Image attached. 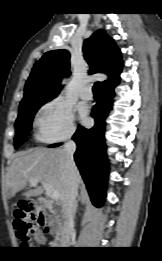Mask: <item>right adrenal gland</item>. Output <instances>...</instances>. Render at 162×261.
I'll list each match as a JSON object with an SVG mask.
<instances>
[{"label": "right adrenal gland", "instance_id": "obj_1", "mask_svg": "<svg viewBox=\"0 0 162 261\" xmlns=\"http://www.w3.org/2000/svg\"><path fill=\"white\" fill-rule=\"evenodd\" d=\"M81 200V197L79 196L78 199L76 200L75 206H74V211H73V217L75 219L77 208H78V203Z\"/></svg>", "mask_w": 162, "mask_h": 261}]
</instances>
